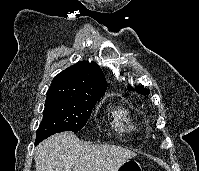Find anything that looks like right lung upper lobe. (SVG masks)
<instances>
[{
  "instance_id": "obj_1",
  "label": "right lung upper lobe",
  "mask_w": 199,
  "mask_h": 171,
  "mask_svg": "<svg viewBox=\"0 0 199 171\" xmlns=\"http://www.w3.org/2000/svg\"><path fill=\"white\" fill-rule=\"evenodd\" d=\"M106 80L95 63L80 61L56 75L47 94L73 100L100 99L106 90Z\"/></svg>"
}]
</instances>
